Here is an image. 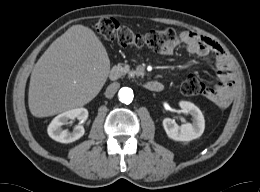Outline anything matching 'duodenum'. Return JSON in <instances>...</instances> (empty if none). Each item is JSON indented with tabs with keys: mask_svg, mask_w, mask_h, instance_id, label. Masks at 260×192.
I'll return each instance as SVG.
<instances>
[{
	"mask_svg": "<svg viewBox=\"0 0 260 192\" xmlns=\"http://www.w3.org/2000/svg\"><path fill=\"white\" fill-rule=\"evenodd\" d=\"M119 77V71L117 69H112L109 73V78L114 81ZM145 89L151 92H160L163 89V85L156 80L148 81L144 84Z\"/></svg>",
	"mask_w": 260,
	"mask_h": 192,
	"instance_id": "410a0bca",
	"label": "duodenum"
}]
</instances>
